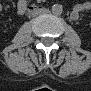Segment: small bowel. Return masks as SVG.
Wrapping results in <instances>:
<instances>
[{"label": "small bowel", "mask_w": 91, "mask_h": 91, "mask_svg": "<svg viewBox=\"0 0 91 91\" xmlns=\"http://www.w3.org/2000/svg\"><path fill=\"white\" fill-rule=\"evenodd\" d=\"M27 7V1L26 0H20L17 3V9L19 12H23ZM73 14H76V12L74 11Z\"/></svg>", "instance_id": "obj_1"}]
</instances>
